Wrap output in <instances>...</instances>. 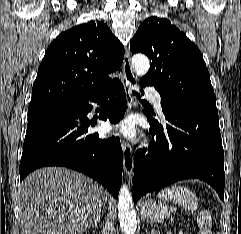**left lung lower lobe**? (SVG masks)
<instances>
[{
  "mask_svg": "<svg viewBox=\"0 0 241 234\" xmlns=\"http://www.w3.org/2000/svg\"><path fill=\"white\" fill-rule=\"evenodd\" d=\"M142 87L151 86L140 82ZM161 122L144 111L150 123L148 154L134 156L133 200L183 179L210 184L224 201V152L218 114L161 99Z\"/></svg>",
  "mask_w": 241,
  "mask_h": 234,
  "instance_id": "left-lung-lower-lobe-1",
  "label": "left lung lower lobe"
}]
</instances>
